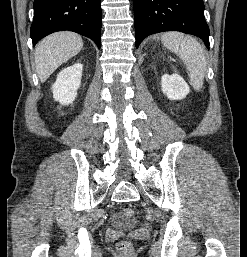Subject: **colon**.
<instances>
[{
    "instance_id": "obj_1",
    "label": "colon",
    "mask_w": 247,
    "mask_h": 257,
    "mask_svg": "<svg viewBox=\"0 0 247 257\" xmlns=\"http://www.w3.org/2000/svg\"><path fill=\"white\" fill-rule=\"evenodd\" d=\"M123 216L124 218L131 220L135 216V211L133 208H125L123 210ZM117 250L121 253H128L131 250V243L129 241H120L117 244Z\"/></svg>"
}]
</instances>
